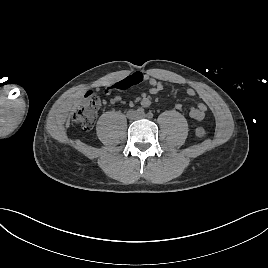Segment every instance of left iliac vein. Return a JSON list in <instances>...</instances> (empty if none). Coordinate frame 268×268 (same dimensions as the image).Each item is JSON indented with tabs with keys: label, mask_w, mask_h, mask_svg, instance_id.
<instances>
[{
	"label": "left iliac vein",
	"mask_w": 268,
	"mask_h": 268,
	"mask_svg": "<svg viewBox=\"0 0 268 268\" xmlns=\"http://www.w3.org/2000/svg\"><path fill=\"white\" fill-rule=\"evenodd\" d=\"M146 117H147V115H145V114L138 115V118H146Z\"/></svg>",
	"instance_id": "4c4485c4"
}]
</instances>
